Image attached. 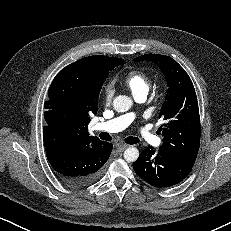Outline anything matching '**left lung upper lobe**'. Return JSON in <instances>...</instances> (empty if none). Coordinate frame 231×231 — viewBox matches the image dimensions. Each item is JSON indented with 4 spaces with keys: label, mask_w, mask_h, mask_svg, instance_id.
Wrapping results in <instances>:
<instances>
[{
    "label": "left lung upper lobe",
    "mask_w": 231,
    "mask_h": 231,
    "mask_svg": "<svg viewBox=\"0 0 231 231\" xmlns=\"http://www.w3.org/2000/svg\"><path fill=\"white\" fill-rule=\"evenodd\" d=\"M150 60L163 71L168 90L159 118L164 135L160 151L175 157L196 160L200 145V116L193 83L186 71L171 57L144 54L136 62Z\"/></svg>",
    "instance_id": "5c2ea615"
}]
</instances>
